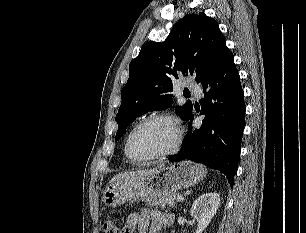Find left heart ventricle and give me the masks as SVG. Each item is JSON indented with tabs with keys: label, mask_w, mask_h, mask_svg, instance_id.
<instances>
[{
	"label": "left heart ventricle",
	"mask_w": 306,
	"mask_h": 233,
	"mask_svg": "<svg viewBox=\"0 0 306 233\" xmlns=\"http://www.w3.org/2000/svg\"><path fill=\"white\" fill-rule=\"evenodd\" d=\"M176 140L174 125L167 120H153L141 126L131 140L135 156L146 157L171 149Z\"/></svg>",
	"instance_id": "left-heart-ventricle-1"
}]
</instances>
